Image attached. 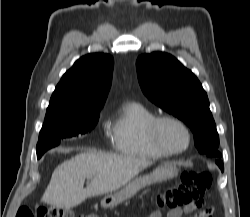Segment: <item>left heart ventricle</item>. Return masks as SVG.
<instances>
[{
    "instance_id": "left-heart-ventricle-1",
    "label": "left heart ventricle",
    "mask_w": 250,
    "mask_h": 217,
    "mask_svg": "<svg viewBox=\"0 0 250 217\" xmlns=\"http://www.w3.org/2000/svg\"><path fill=\"white\" fill-rule=\"evenodd\" d=\"M163 140L172 148H183L186 144L184 132L173 124H164L162 127Z\"/></svg>"
}]
</instances>
